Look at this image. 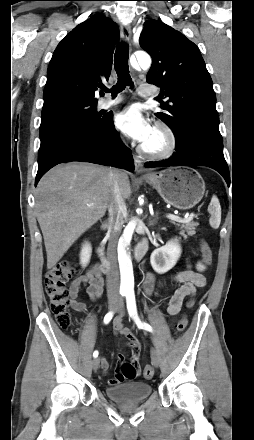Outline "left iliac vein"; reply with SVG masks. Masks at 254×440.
Listing matches in <instances>:
<instances>
[{
    "label": "left iliac vein",
    "mask_w": 254,
    "mask_h": 440,
    "mask_svg": "<svg viewBox=\"0 0 254 440\" xmlns=\"http://www.w3.org/2000/svg\"><path fill=\"white\" fill-rule=\"evenodd\" d=\"M118 312L122 315L123 314V302L120 301L118 308H117ZM151 360H152V364L155 367H159L160 365V355L158 353V351L156 349H152L151 350Z\"/></svg>",
    "instance_id": "left-iliac-vein-1"
}]
</instances>
